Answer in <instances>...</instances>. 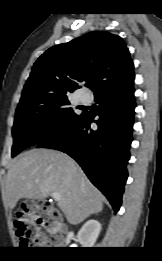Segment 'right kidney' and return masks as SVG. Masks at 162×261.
I'll return each mask as SVG.
<instances>
[{"label":"right kidney","instance_id":"1","mask_svg":"<svg viewBox=\"0 0 162 261\" xmlns=\"http://www.w3.org/2000/svg\"><path fill=\"white\" fill-rule=\"evenodd\" d=\"M101 231V224L97 220H88L77 234V238L83 247L91 248L95 244L99 233Z\"/></svg>","mask_w":162,"mask_h":261}]
</instances>
